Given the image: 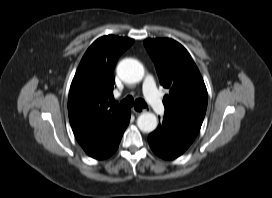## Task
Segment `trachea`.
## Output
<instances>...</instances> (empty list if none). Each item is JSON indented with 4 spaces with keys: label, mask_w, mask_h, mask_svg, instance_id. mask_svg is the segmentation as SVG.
<instances>
[{
    "label": "trachea",
    "mask_w": 272,
    "mask_h": 198,
    "mask_svg": "<svg viewBox=\"0 0 272 198\" xmlns=\"http://www.w3.org/2000/svg\"><path fill=\"white\" fill-rule=\"evenodd\" d=\"M121 103L125 106H128V107H132L134 104L137 106V107H140V108H146L147 107V104L146 102L141 99V98H138L134 101L133 97L132 96H128L126 97L123 101H121Z\"/></svg>",
    "instance_id": "trachea-1"
}]
</instances>
